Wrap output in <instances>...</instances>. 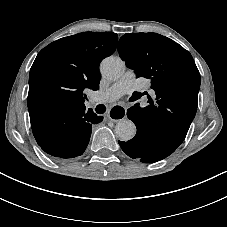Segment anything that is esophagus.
<instances>
[{
	"label": "esophagus",
	"instance_id": "obj_1",
	"mask_svg": "<svg viewBox=\"0 0 227 227\" xmlns=\"http://www.w3.org/2000/svg\"><path fill=\"white\" fill-rule=\"evenodd\" d=\"M126 108L122 105H113L107 114V117L112 121H121L126 117Z\"/></svg>",
	"mask_w": 227,
	"mask_h": 227
}]
</instances>
